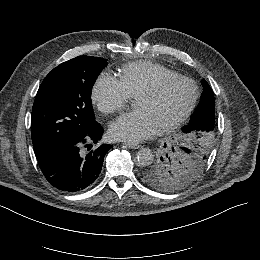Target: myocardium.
<instances>
[{"mask_svg": "<svg viewBox=\"0 0 260 260\" xmlns=\"http://www.w3.org/2000/svg\"><path fill=\"white\" fill-rule=\"evenodd\" d=\"M174 80H181V81L189 83L193 88V97H192V100H191L188 108L178 118H176L175 120H173L169 123L156 127V129L159 133L168 132V131L178 128L191 116V114L193 113V111L198 103L199 96H200V91H199L198 86L192 80H190L188 77L181 75V74H175V75L164 76V77L159 78V80L157 81V83L155 85L141 90L135 96L136 98H138L139 96H144V95H156L157 93L160 92V90L166 84H168L169 82L174 81Z\"/></svg>", "mask_w": 260, "mask_h": 260, "instance_id": "f54148a6", "label": "myocardium"}]
</instances>
